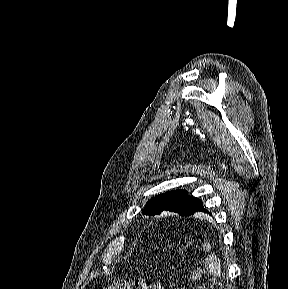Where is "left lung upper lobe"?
I'll return each instance as SVG.
<instances>
[{
    "label": "left lung upper lobe",
    "mask_w": 288,
    "mask_h": 289,
    "mask_svg": "<svg viewBox=\"0 0 288 289\" xmlns=\"http://www.w3.org/2000/svg\"><path fill=\"white\" fill-rule=\"evenodd\" d=\"M200 203L199 198L188 195L186 190H173L153 197L146 203L142 213L152 216L162 211H171L187 217Z\"/></svg>",
    "instance_id": "1"
}]
</instances>
